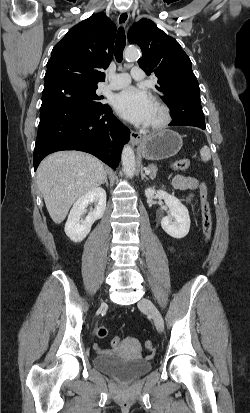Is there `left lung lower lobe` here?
I'll use <instances>...</instances> for the list:
<instances>
[{
  "instance_id": "0a47b994",
  "label": "left lung lower lobe",
  "mask_w": 250,
  "mask_h": 413,
  "mask_svg": "<svg viewBox=\"0 0 250 413\" xmlns=\"http://www.w3.org/2000/svg\"><path fill=\"white\" fill-rule=\"evenodd\" d=\"M172 121L170 126H196L205 129L204 114L199 96L173 102L170 107Z\"/></svg>"
}]
</instances>
